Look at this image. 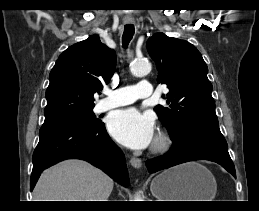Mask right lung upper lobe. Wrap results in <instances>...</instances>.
<instances>
[{
    "label": "right lung upper lobe",
    "instance_id": "right-lung-upper-lobe-1",
    "mask_svg": "<svg viewBox=\"0 0 259 211\" xmlns=\"http://www.w3.org/2000/svg\"><path fill=\"white\" fill-rule=\"evenodd\" d=\"M115 66V52L95 35L65 50L49 75L43 125L92 110L94 93L110 81Z\"/></svg>",
    "mask_w": 259,
    "mask_h": 211
}]
</instances>
